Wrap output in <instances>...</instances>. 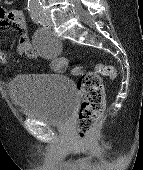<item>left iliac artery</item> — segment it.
<instances>
[{
  "label": "left iliac artery",
  "instance_id": "1",
  "mask_svg": "<svg viewBox=\"0 0 143 170\" xmlns=\"http://www.w3.org/2000/svg\"><path fill=\"white\" fill-rule=\"evenodd\" d=\"M37 22L43 25L44 27H48L46 16L40 17L39 19H37Z\"/></svg>",
  "mask_w": 143,
  "mask_h": 170
}]
</instances>
